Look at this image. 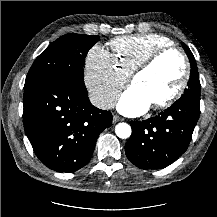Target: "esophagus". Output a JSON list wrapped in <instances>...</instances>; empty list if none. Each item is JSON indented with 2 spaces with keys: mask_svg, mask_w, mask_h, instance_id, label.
<instances>
[{
  "mask_svg": "<svg viewBox=\"0 0 217 217\" xmlns=\"http://www.w3.org/2000/svg\"><path fill=\"white\" fill-rule=\"evenodd\" d=\"M122 120H123V118H121V117L118 116V115H114V116H113V123H116V122L122 121Z\"/></svg>",
  "mask_w": 217,
  "mask_h": 217,
  "instance_id": "1",
  "label": "esophagus"
}]
</instances>
